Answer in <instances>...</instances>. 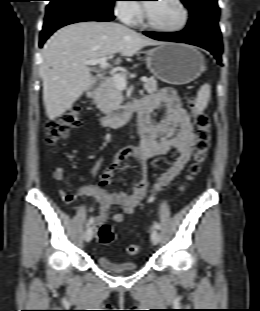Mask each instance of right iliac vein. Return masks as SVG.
Returning <instances> with one entry per match:
<instances>
[{
	"mask_svg": "<svg viewBox=\"0 0 260 311\" xmlns=\"http://www.w3.org/2000/svg\"><path fill=\"white\" fill-rule=\"evenodd\" d=\"M92 237H93V230L92 228H88L85 232L84 239L86 242H90L92 240Z\"/></svg>",
	"mask_w": 260,
	"mask_h": 311,
	"instance_id": "obj_1",
	"label": "right iliac vein"
}]
</instances>
